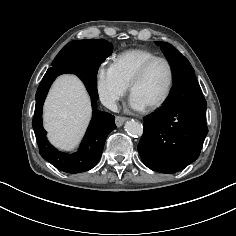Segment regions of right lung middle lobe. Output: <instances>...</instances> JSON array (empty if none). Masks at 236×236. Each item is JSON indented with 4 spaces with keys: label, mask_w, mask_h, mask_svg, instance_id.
<instances>
[{
    "label": "right lung middle lobe",
    "mask_w": 236,
    "mask_h": 236,
    "mask_svg": "<svg viewBox=\"0 0 236 236\" xmlns=\"http://www.w3.org/2000/svg\"><path fill=\"white\" fill-rule=\"evenodd\" d=\"M94 40V39H93ZM97 41L98 43H100L103 47H106V48H113L112 47V44L109 43L108 41L106 40H103V39H99V40H95ZM61 56H60V52L59 54L56 56V58L54 59L53 63H52V66H59L60 63H61V60H60Z\"/></svg>",
    "instance_id": "obj_1"
}]
</instances>
